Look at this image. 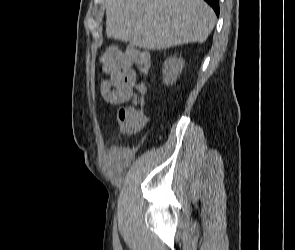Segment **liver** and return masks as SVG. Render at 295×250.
I'll return each instance as SVG.
<instances>
[{
	"mask_svg": "<svg viewBox=\"0 0 295 250\" xmlns=\"http://www.w3.org/2000/svg\"><path fill=\"white\" fill-rule=\"evenodd\" d=\"M107 36L148 50L203 43L216 16L204 0H106Z\"/></svg>",
	"mask_w": 295,
	"mask_h": 250,
	"instance_id": "liver-1",
	"label": "liver"
}]
</instances>
